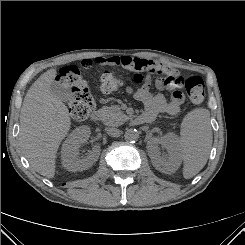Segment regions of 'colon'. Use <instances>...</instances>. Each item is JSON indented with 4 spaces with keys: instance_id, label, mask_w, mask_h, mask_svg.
<instances>
[{
    "instance_id": "obj_1",
    "label": "colon",
    "mask_w": 245,
    "mask_h": 245,
    "mask_svg": "<svg viewBox=\"0 0 245 245\" xmlns=\"http://www.w3.org/2000/svg\"><path fill=\"white\" fill-rule=\"evenodd\" d=\"M164 71L172 78L178 77V72L173 68H164ZM142 80L140 74L133 75V81L138 84ZM58 82L72 90L69 101V111L75 120H84L95 109V100L88 90L86 81L76 65H69L61 69ZM121 86V80L112 72H105L100 77L99 89L104 93H110ZM186 92L190 101L199 104L205 96L204 81L199 76H192L185 82Z\"/></svg>"
}]
</instances>
